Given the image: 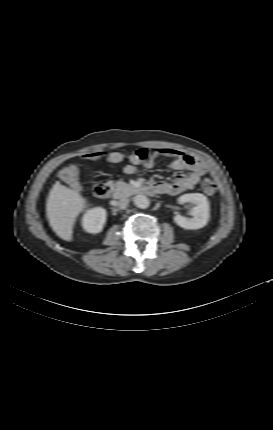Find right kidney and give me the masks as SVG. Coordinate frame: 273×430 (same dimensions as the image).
Returning a JSON list of instances; mask_svg holds the SVG:
<instances>
[{"label":"right kidney","mask_w":273,"mask_h":430,"mask_svg":"<svg viewBox=\"0 0 273 430\" xmlns=\"http://www.w3.org/2000/svg\"><path fill=\"white\" fill-rule=\"evenodd\" d=\"M106 222V210L96 207L89 210L83 217L82 225L86 232L99 233Z\"/></svg>","instance_id":"ca27d5eb"}]
</instances>
